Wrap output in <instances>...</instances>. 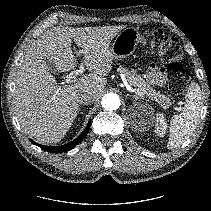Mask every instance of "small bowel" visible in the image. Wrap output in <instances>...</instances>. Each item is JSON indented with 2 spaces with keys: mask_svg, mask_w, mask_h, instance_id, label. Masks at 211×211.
Returning a JSON list of instances; mask_svg holds the SVG:
<instances>
[{
  "mask_svg": "<svg viewBox=\"0 0 211 211\" xmlns=\"http://www.w3.org/2000/svg\"><path fill=\"white\" fill-rule=\"evenodd\" d=\"M147 80L154 85H162L165 82V72L163 69L156 68L154 66L150 67L147 75Z\"/></svg>",
  "mask_w": 211,
  "mask_h": 211,
  "instance_id": "1",
  "label": "small bowel"
}]
</instances>
